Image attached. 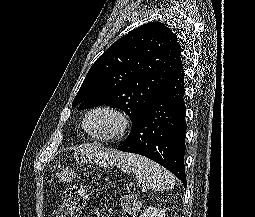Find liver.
Returning <instances> with one entry per match:
<instances>
[{"label": "liver", "mask_w": 255, "mask_h": 217, "mask_svg": "<svg viewBox=\"0 0 255 217\" xmlns=\"http://www.w3.org/2000/svg\"><path fill=\"white\" fill-rule=\"evenodd\" d=\"M119 155L114 150H106L96 145H84L76 148L74 157L85 161L86 159L98 158V159H112Z\"/></svg>", "instance_id": "1"}]
</instances>
